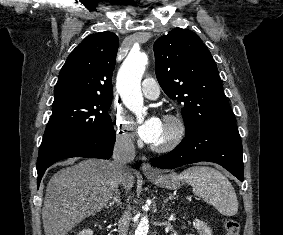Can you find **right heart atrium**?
<instances>
[{
    "instance_id": "obj_1",
    "label": "right heart atrium",
    "mask_w": 283,
    "mask_h": 235,
    "mask_svg": "<svg viewBox=\"0 0 283 235\" xmlns=\"http://www.w3.org/2000/svg\"><path fill=\"white\" fill-rule=\"evenodd\" d=\"M114 129L116 137L125 144L135 140V130L132 123L119 111L114 112Z\"/></svg>"
}]
</instances>
